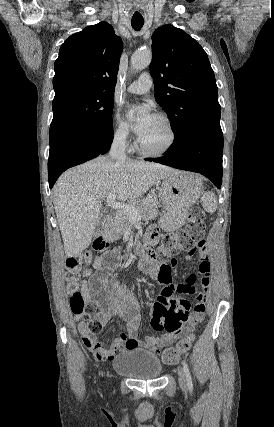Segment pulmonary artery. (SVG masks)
I'll return each mask as SVG.
<instances>
[{"label":"pulmonary artery","mask_w":274,"mask_h":427,"mask_svg":"<svg viewBox=\"0 0 274 427\" xmlns=\"http://www.w3.org/2000/svg\"><path fill=\"white\" fill-rule=\"evenodd\" d=\"M152 86V78L148 73H143L136 81L127 87V92L136 95H143L149 92Z\"/></svg>","instance_id":"obj_1"}]
</instances>
